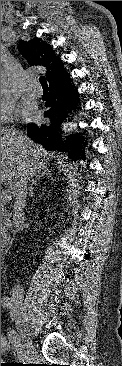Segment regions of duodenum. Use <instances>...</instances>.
I'll return each mask as SVG.
<instances>
[{
  "instance_id": "410a0bca",
  "label": "duodenum",
  "mask_w": 122,
  "mask_h": 366,
  "mask_svg": "<svg viewBox=\"0 0 122 366\" xmlns=\"http://www.w3.org/2000/svg\"><path fill=\"white\" fill-rule=\"evenodd\" d=\"M5 244H6V237H1V250L3 249Z\"/></svg>"
}]
</instances>
